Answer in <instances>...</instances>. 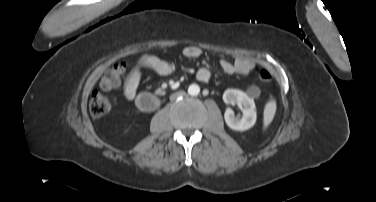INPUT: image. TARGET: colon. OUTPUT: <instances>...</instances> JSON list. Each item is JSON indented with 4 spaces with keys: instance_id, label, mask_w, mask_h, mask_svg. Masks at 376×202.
<instances>
[{
    "instance_id": "obj_1",
    "label": "colon",
    "mask_w": 376,
    "mask_h": 202,
    "mask_svg": "<svg viewBox=\"0 0 376 202\" xmlns=\"http://www.w3.org/2000/svg\"><path fill=\"white\" fill-rule=\"evenodd\" d=\"M125 72L124 64H115L108 69L100 80V88L105 91L112 90L120 85L121 75ZM259 80L268 84L272 77L269 71L261 69L258 73ZM110 109V102L108 98L99 92H93L89 100V110L93 117H101L105 115Z\"/></svg>"
}]
</instances>
